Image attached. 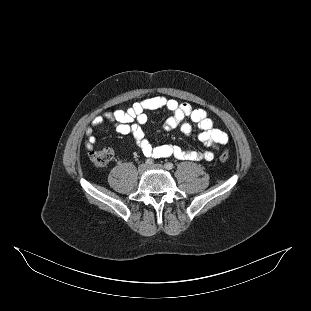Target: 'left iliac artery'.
I'll return each instance as SVG.
<instances>
[{
  "label": "left iliac artery",
  "instance_id": "left-iliac-artery-1",
  "mask_svg": "<svg viewBox=\"0 0 311 311\" xmlns=\"http://www.w3.org/2000/svg\"><path fill=\"white\" fill-rule=\"evenodd\" d=\"M165 168L168 169V170H172L174 168L173 164L168 162L165 164Z\"/></svg>",
  "mask_w": 311,
  "mask_h": 311
}]
</instances>
